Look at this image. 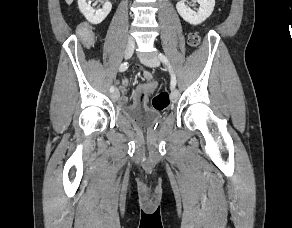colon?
Instances as JSON below:
<instances>
[{"mask_svg": "<svg viewBox=\"0 0 292 228\" xmlns=\"http://www.w3.org/2000/svg\"><path fill=\"white\" fill-rule=\"evenodd\" d=\"M79 37L82 39L84 44L91 46L94 43V36L92 30L86 26L82 25L78 28ZM200 43V36L197 33L192 34L189 37V44L192 47H196ZM169 94L167 92H159L154 95L152 99V106L156 110H165L169 106Z\"/></svg>", "mask_w": 292, "mask_h": 228, "instance_id": "5ec220e1", "label": "colon"}]
</instances>
